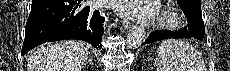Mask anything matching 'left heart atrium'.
I'll return each instance as SVG.
<instances>
[{"label": "left heart atrium", "mask_w": 230, "mask_h": 71, "mask_svg": "<svg viewBox=\"0 0 230 71\" xmlns=\"http://www.w3.org/2000/svg\"><path fill=\"white\" fill-rule=\"evenodd\" d=\"M113 5L121 13L139 20L151 19L156 14V7L152 0H119Z\"/></svg>", "instance_id": "1"}]
</instances>
